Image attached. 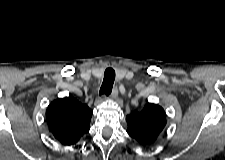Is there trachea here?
I'll return each instance as SVG.
<instances>
[{
  "mask_svg": "<svg viewBox=\"0 0 225 160\" xmlns=\"http://www.w3.org/2000/svg\"><path fill=\"white\" fill-rule=\"evenodd\" d=\"M115 80V71L112 68H107L104 72V79L101 85L99 94L109 96L112 92L113 83Z\"/></svg>",
  "mask_w": 225,
  "mask_h": 160,
  "instance_id": "obj_1",
  "label": "trachea"
}]
</instances>
